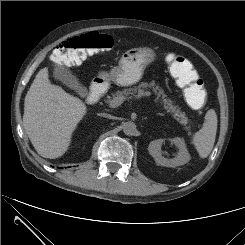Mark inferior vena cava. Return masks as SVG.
<instances>
[{
	"label": "inferior vena cava",
	"mask_w": 245,
	"mask_h": 245,
	"mask_svg": "<svg viewBox=\"0 0 245 245\" xmlns=\"http://www.w3.org/2000/svg\"><path fill=\"white\" fill-rule=\"evenodd\" d=\"M99 115H100V116H103V117H106V118H110V119H114V118H115L114 116H111V115L105 114V113L99 114Z\"/></svg>",
	"instance_id": "inferior-vena-cava-1"
}]
</instances>
